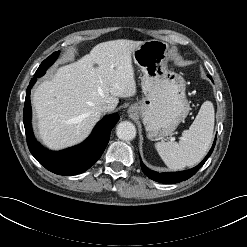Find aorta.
<instances>
[{"label": "aorta", "instance_id": "1", "mask_svg": "<svg viewBox=\"0 0 247 247\" xmlns=\"http://www.w3.org/2000/svg\"><path fill=\"white\" fill-rule=\"evenodd\" d=\"M116 134L121 140H133L136 136V127L132 122L122 121L116 127Z\"/></svg>", "mask_w": 247, "mask_h": 247}]
</instances>
